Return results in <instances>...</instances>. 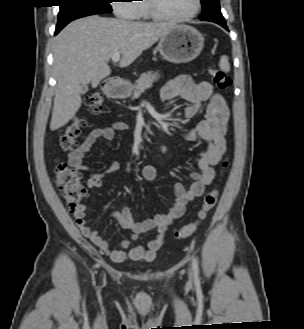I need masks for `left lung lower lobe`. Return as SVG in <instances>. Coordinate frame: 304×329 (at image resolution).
Listing matches in <instances>:
<instances>
[{
    "label": "left lung lower lobe",
    "instance_id": "left-lung-lower-lobe-1",
    "mask_svg": "<svg viewBox=\"0 0 304 329\" xmlns=\"http://www.w3.org/2000/svg\"><path fill=\"white\" fill-rule=\"evenodd\" d=\"M200 20L217 23L228 30L224 17L220 12L219 1L213 2L208 8L204 9Z\"/></svg>",
    "mask_w": 304,
    "mask_h": 329
}]
</instances>
